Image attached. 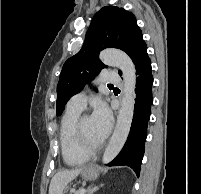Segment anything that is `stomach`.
<instances>
[{
	"label": "stomach",
	"mask_w": 201,
	"mask_h": 194,
	"mask_svg": "<svg viewBox=\"0 0 201 194\" xmlns=\"http://www.w3.org/2000/svg\"><path fill=\"white\" fill-rule=\"evenodd\" d=\"M98 175H99L98 168L93 164L87 165L86 167L83 168L81 172L82 178L86 181H92L96 179Z\"/></svg>",
	"instance_id": "0dacf381"
}]
</instances>
